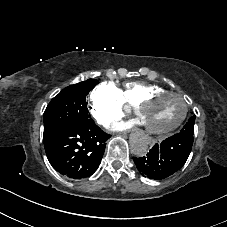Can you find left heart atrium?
Masks as SVG:
<instances>
[{
	"label": "left heart atrium",
	"mask_w": 227,
	"mask_h": 227,
	"mask_svg": "<svg viewBox=\"0 0 227 227\" xmlns=\"http://www.w3.org/2000/svg\"><path fill=\"white\" fill-rule=\"evenodd\" d=\"M132 124L131 123H119L116 124L112 127V130H116V131H128L129 129H131Z\"/></svg>",
	"instance_id": "obj_1"
}]
</instances>
